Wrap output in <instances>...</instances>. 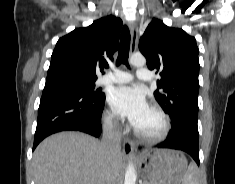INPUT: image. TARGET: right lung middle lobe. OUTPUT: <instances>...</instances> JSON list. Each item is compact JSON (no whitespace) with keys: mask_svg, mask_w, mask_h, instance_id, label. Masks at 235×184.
I'll return each instance as SVG.
<instances>
[{"mask_svg":"<svg viewBox=\"0 0 235 184\" xmlns=\"http://www.w3.org/2000/svg\"><path fill=\"white\" fill-rule=\"evenodd\" d=\"M62 82L66 85L77 87L83 92L92 95L96 98L105 97L101 88L95 89V81L83 80L79 78L66 77L62 79Z\"/></svg>","mask_w":235,"mask_h":184,"instance_id":"right-lung-middle-lobe-1","label":"right lung middle lobe"}]
</instances>
